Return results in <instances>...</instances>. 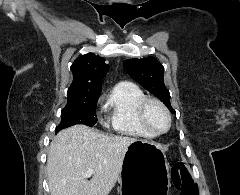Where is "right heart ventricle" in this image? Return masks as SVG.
Returning <instances> with one entry per match:
<instances>
[{
  "label": "right heart ventricle",
  "mask_w": 240,
  "mask_h": 195,
  "mask_svg": "<svg viewBox=\"0 0 240 195\" xmlns=\"http://www.w3.org/2000/svg\"><path fill=\"white\" fill-rule=\"evenodd\" d=\"M144 98V92L137 85L130 82L117 84L107 99L108 121L104 125L119 136L152 138L138 119V105Z\"/></svg>",
  "instance_id": "e07e8e85"
}]
</instances>
